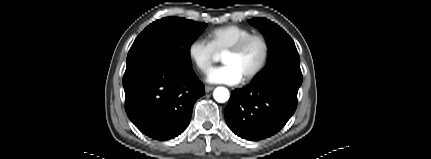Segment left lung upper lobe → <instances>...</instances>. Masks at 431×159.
<instances>
[{"mask_svg":"<svg viewBox=\"0 0 431 159\" xmlns=\"http://www.w3.org/2000/svg\"><path fill=\"white\" fill-rule=\"evenodd\" d=\"M248 22L264 35L269 48L267 64L253 82L281 72L302 75L294 41L281 27L266 18H254Z\"/></svg>","mask_w":431,"mask_h":159,"instance_id":"5c2ea615","label":"left lung upper lobe"}]
</instances>
